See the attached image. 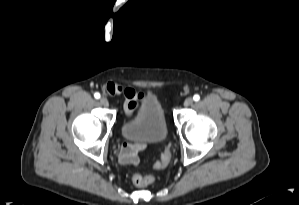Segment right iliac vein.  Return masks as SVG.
<instances>
[{"label":"right iliac vein","instance_id":"63e3f726","mask_svg":"<svg viewBox=\"0 0 299 205\" xmlns=\"http://www.w3.org/2000/svg\"><path fill=\"white\" fill-rule=\"evenodd\" d=\"M100 103L103 105V106H109V102L108 100L105 98V97H101L100 98Z\"/></svg>","mask_w":299,"mask_h":205}]
</instances>
